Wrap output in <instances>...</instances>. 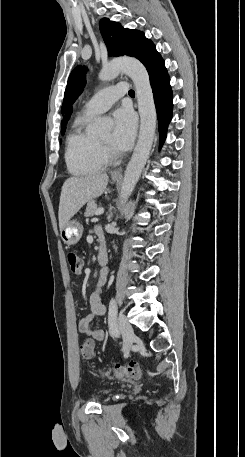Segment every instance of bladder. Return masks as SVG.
<instances>
[{
    "label": "bladder",
    "instance_id": "1",
    "mask_svg": "<svg viewBox=\"0 0 245 457\" xmlns=\"http://www.w3.org/2000/svg\"><path fill=\"white\" fill-rule=\"evenodd\" d=\"M107 394H108L107 391H103V392H102V396H106Z\"/></svg>",
    "mask_w": 245,
    "mask_h": 457
}]
</instances>
